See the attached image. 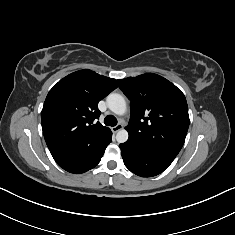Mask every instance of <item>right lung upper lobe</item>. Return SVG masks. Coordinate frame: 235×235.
<instances>
[{
    "label": "right lung upper lobe",
    "instance_id": "right-lung-upper-lobe-1",
    "mask_svg": "<svg viewBox=\"0 0 235 235\" xmlns=\"http://www.w3.org/2000/svg\"><path fill=\"white\" fill-rule=\"evenodd\" d=\"M117 88V81L89 69L61 79L49 91L41 112L46 144L56 160L98 147L110 134L94 122L100 116L98 102Z\"/></svg>",
    "mask_w": 235,
    "mask_h": 235
}]
</instances>
